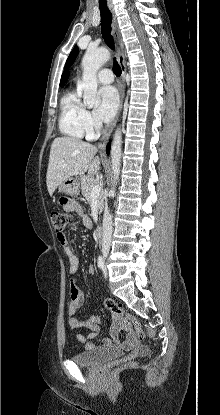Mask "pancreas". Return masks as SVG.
Segmentation results:
<instances>
[{"label":"pancreas","instance_id":"1","mask_svg":"<svg viewBox=\"0 0 220 415\" xmlns=\"http://www.w3.org/2000/svg\"><path fill=\"white\" fill-rule=\"evenodd\" d=\"M96 182L97 180H95L94 177L91 175L81 176L82 195L88 202L91 201L90 193H91L93 186L96 184ZM105 198H106L105 193L103 190H101L97 198L98 199V210L100 212H102L103 210Z\"/></svg>","mask_w":220,"mask_h":415}]
</instances>
